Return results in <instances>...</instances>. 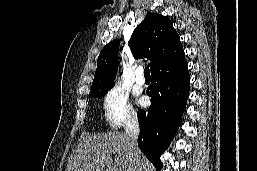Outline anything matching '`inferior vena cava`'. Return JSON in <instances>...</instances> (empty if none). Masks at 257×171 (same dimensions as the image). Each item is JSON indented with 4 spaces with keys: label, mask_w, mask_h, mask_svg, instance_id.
I'll return each mask as SVG.
<instances>
[{
    "label": "inferior vena cava",
    "mask_w": 257,
    "mask_h": 171,
    "mask_svg": "<svg viewBox=\"0 0 257 171\" xmlns=\"http://www.w3.org/2000/svg\"><path fill=\"white\" fill-rule=\"evenodd\" d=\"M139 130L137 115H130L125 123V133L130 140V158L132 163L131 171H142V166L138 156L139 148L137 145Z\"/></svg>",
    "instance_id": "inferior-vena-cava-1"
}]
</instances>
